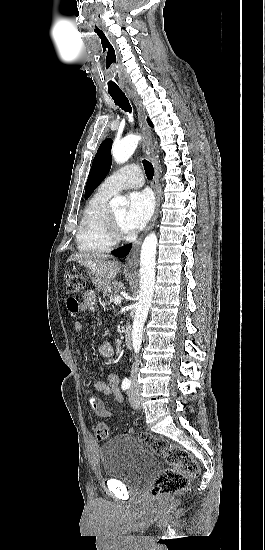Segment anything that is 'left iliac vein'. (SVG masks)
<instances>
[{
  "instance_id": "4c4485c4",
  "label": "left iliac vein",
  "mask_w": 265,
  "mask_h": 550,
  "mask_svg": "<svg viewBox=\"0 0 265 550\" xmlns=\"http://www.w3.org/2000/svg\"><path fill=\"white\" fill-rule=\"evenodd\" d=\"M128 398H129V402H130V404L132 405L133 408H135V409H140L141 408L138 393L133 388L129 389Z\"/></svg>"
}]
</instances>
